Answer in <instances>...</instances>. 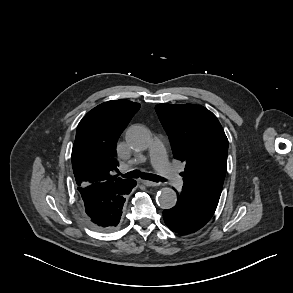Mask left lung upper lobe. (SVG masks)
I'll return each mask as SVG.
<instances>
[{"mask_svg":"<svg viewBox=\"0 0 293 293\" xmlns=\"http://www.w3.org/2000/svg\"><path fill=\"white\" fill-rule=\"evenodd\" d=\"M155 109L174 158L185 165L182 190L216 208L228 154V139L217 117L193 104H158Z\"/></svg>","mask_w":293,"mask_h":293,"instance_id":"left-lung-upper-lobe-1","label":"left lung upper lobe"}]
</instances>
